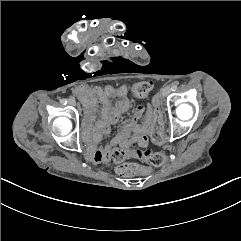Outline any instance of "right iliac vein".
Here are the masks:
<instances>
[{
    "label": "right iliac vein",
    "mask_w": 241,
    "mask_h": 241,
    "mask_svg": "<svg viewBox=\"0 0 241 241\" xmlns=\"http://www.w3.org/2000/svg\"><path fill=\"white\" fill-rule=\"evenodd\" d=\"M68 103H69L70 105H74L76 102H75V100H73V99H69V100H68Z\"/></svg>",
    "instance_id": "63e3f726"
}]
</instances>
